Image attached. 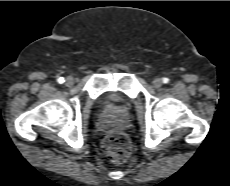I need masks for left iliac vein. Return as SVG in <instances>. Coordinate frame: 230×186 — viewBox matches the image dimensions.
Wrapping results in <instances>:
<instances>
[{
    "label": "left iliac vein",
    "instance_id": "obj_1",
    "mask_svg": "<svg viewBox=\"0 0 230 186\" xmlns=\"http://www.w3.org/2000/svg\"><path fill=\"white\" fill-rule=\"evenodd\" d=\"M152 84L155 88H160L162 86V80L160 78H155Z\"/></svg>",
    "mask_w": 230,
    "mask_h": 186
}]
</instances>
